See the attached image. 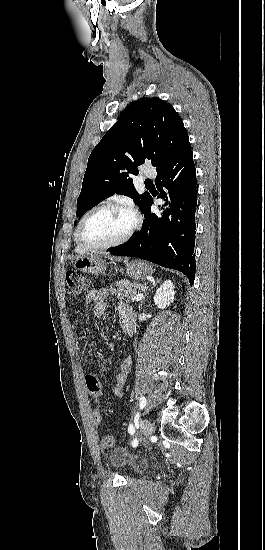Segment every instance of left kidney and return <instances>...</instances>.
I'll use <instances>...</instances> for the list:
<instances>
[{"instance_id":"obj_1","label":"left kidney","mask_w":265,"mask_h":550,"mask_svg":"<svg viewBox=\"0 0 265 550\" xmlns=\"http://www.w3.org/2000/svg\"><path fill=\"white\" fill-rule=\"evenodd\" d=\"M174 295V286L171 280H167L157 289L154 303L159 309H165L174 301Z\"/></svg>"}]
</instances>
